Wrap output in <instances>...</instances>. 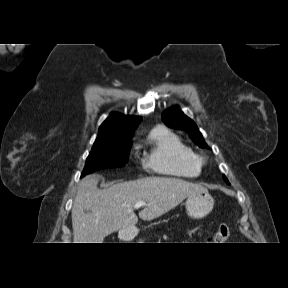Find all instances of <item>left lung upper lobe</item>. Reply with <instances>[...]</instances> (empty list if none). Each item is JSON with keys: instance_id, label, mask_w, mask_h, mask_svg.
<instances>
[{"instance_id": "1", "label": "left lung upper lobe", "mask_w": 288, "mask_h": 288, "mask_svg": "<svg viewBox=\"0 0 288 288\" xmlns=\"http://www.w3.org/2000/svg\"><path fill=\"white\" fill-rule=\"evenodd\" d=\"M162 119L167 126H170L175 129H181L188 132L191 138L200 146L206 147V144L203 141V137L200 131L197 128V125L193 120L188 118L182 112H180L177 108H171L165 111L162 114ZM224 180L229 184L228 180L225 176Z\"/></svg>"}]
</instances>
